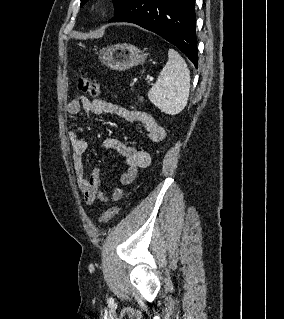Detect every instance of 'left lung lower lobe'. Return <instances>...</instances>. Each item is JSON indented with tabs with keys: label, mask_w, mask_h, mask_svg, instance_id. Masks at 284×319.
Listing matches in <instances>:
<instances>
[{
	"label": "left lung lower lobe",
	"mask_w": 284,
	"mask_h": 319,
	"mask_svg": "<svg viewBox=\"0 0 284 319\" xmlns=\"http://www.w3.org/2000/svg\"><path fill=\"white\" fill-rule=\"evenodd\" d=\"M109 22H129L177 46L197 67L195 0H129Z\"/></svg>",
	"instance_id": "0a47b994"
}]
</instances>
